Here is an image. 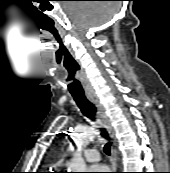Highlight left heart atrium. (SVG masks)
Listing matches in <instances>:
<instances>
[{
	"mask_svg": "<svg viewBox=\"0 0 170 173\" xmlns=\"http://www.w3.org/2000/svg\"><path fill=\"white\" fill-rule=\"evenodd\" d=\"M90 173H106L107 167L103 165H94L89 168Z\"/></svg>",
	"mask_w": 170,
	"mask_h": 173,
	"instance_id": "1",
	"label": "left heart atrium"
}]
</instances>
